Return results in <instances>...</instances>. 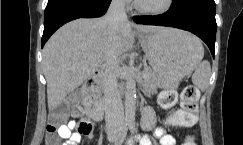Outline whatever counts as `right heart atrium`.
I'll return each instance as SVG.
<instances>
[{
    "mask_svg": "<svg viewBox=\"0 0 243 145\" xmlns=\"http://www.w3.org/2000/svg\"><path fill=\"white\" fill-rule=\"evenodd\" d=\"M121 3L128 4L131 0H118Z\"/></svg>",
    "mask_w": 243,
    "mask_h": 145,
    "instance_id": "obj_1",
    "label": "right heart atrium"
}]
</instances>
